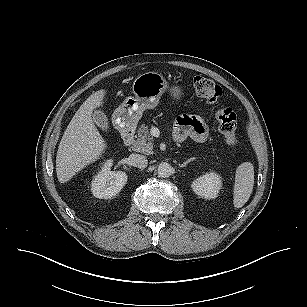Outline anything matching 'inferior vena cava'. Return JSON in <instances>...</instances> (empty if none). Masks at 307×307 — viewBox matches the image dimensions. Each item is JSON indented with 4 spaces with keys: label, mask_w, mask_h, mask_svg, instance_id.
I'll list each match as a JSON object with an SVG mask.
<instances>
[{
    "label": "inferior vena cava",
    "mask_w": 307,
    "mask_h": 307,
    "mask_svg": "<svg viewBox=\"0 0 307 307\" xmlns=\"http://www.w3.org/2000/svg\"><path fill=\"white\" fill-rule=\"evenodd\" d=\"M129 163L134 167H138L140 169H143L147 166L148 160L144 155L131 154L129 156Z\"/></svg>",
    "instance_id": "602c4592"
}]
</instances>
